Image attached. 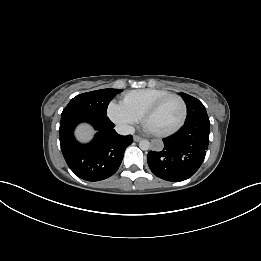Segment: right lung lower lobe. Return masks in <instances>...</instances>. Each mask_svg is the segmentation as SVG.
Segmentation results:
<instances>
[{
  "label": "right lung lower lobe",
  "mask_w": 261,
  "mask_h": 261,
  "mask_svg": "<svg viewBox=\"0 0 261 261\" xmlns=\"http://www.w3.org/2000/svg\"><path fill=\"white\" fill-rule=\"evenodd\" d=\"M81 122L91 124L98 131L88 144H80L74 137V129ZM113 127L106 115L63 110L59 128L61 150L67 165L79 178L100 181L118 170L133 136L119 135Z\"/></svg>",
  "instance_id": "right-lung-lower-lobe-1"
}]
</instances>
